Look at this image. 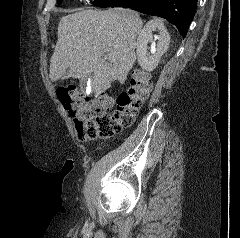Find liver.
<instances>
[{
  "instance_id": "1",
  "label": "liver",
  "mask_w": 240,
  "mask_h": 238,
  "mask_svg": "<svg viewBox=\"0 0 240 238\" xmlns=\"http://www.w3.org/2000/svg\"><path fill=\"white\" fill-rule=\"evenodd\" d=\"M142 25L137 12L122 8L89 9L63 16L50 60L51 81L60 79L69 68L68 77L82 82L92 76L95 95L115 80L124 84L136 59L135 38Z\"/></svg>"
}]
</instances>
